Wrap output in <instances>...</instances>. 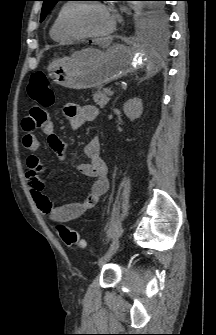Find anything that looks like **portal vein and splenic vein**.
<instances>
[{"label":"portal vein and splenic vein","instance_id":"portal-vein-and-splenic-vein-1","mask_svg":"<svg viewBox=\"0 0 216 335\" xmlns=\"http://www.w3.org/2000/svg\"><path fill=\"white\" fill-rule=\"evenodd\" d=\"M113 95H114V91L111 90V91L108 93V96L111 97V96H113Z\"/></svg>","mask_w":216,"mask_h":335}]
</instances>
